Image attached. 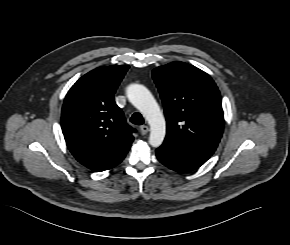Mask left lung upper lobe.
Here are the masks:
<instances>
[{
    "label": "left lung upper lobe",
    "instance_id": "left-lung-upper-lobe-1",
    "mask_svg": "<svg viewBox=\"0 0 290 245\" xmlns=\"http://www.w3.org/2000/svg\"><path fill=\"white\" fill-rule=\"evenodd\" d=\"M164 105L167 134L163 145L208 160L223 133L220 92L212 78L197 67L172 62L152 72Z\"/></svg>",
    "mask_w": 290,
    "mask_h": 245
}]
</instances>
